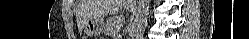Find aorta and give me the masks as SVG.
<instances>
[{
	"mask_svg": "<svg viewBox=\"0 0 249 39\" xmlns=\"http://www.w3.org/2000/svg\"><path fill=\"white\" fill-rule=\"evenodd\" d=\"M150 0H139L138 1V14L135 19L136 28L134 30V36L140 37L141 29L146 23V16L149 10Z\"/></svg>",
	"mask_w": 249,
	"mask_h": 39,
	"instance_id": "762f6f07",
	"label": "aorta"
}]
</instances>
